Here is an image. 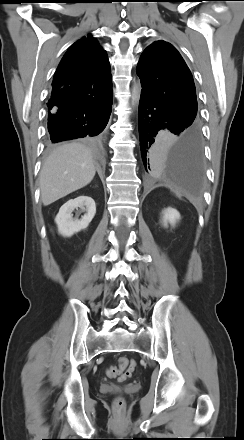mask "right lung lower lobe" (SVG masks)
I'll list each match as a JSON object with an SVG mask.
<instances>
[{"label":"right lung lower lobe","instance_id":"right-lung-lower-lobe-1","mask_svg":"<svg viewBox=\"0 0 244 440\" xmlns=\"http://www.w3.org/2000/svg\"><path fill=\"white\" fill-rule=\"evenodd\" d=\"M112 96L93 108L48 115V130L53 143L98 136L105 129L111 114Z\"/></svg>","mask_w":244,"mask_h":440}]
</instances>
